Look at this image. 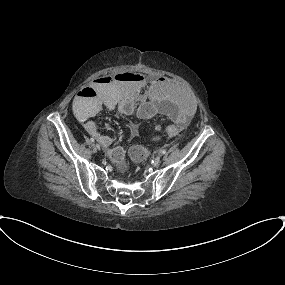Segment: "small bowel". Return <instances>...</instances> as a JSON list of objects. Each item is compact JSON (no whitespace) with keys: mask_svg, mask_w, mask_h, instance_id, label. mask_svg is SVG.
<instances>
[{"mask_svg":"<svg viewBox=\"0 0 285 285\" xmlns=\"http://www.w3.org/2000/svg\"><path fill=\"white\" fill-rule=\"evenodd\" d=\"M119 73L114 76H103L95 80L90 86L79 91L73 99L72 107L75 114L84 121L87 132L95 137L104 147L109 157L116 164H122L125 157L123 146H111L112 139L99 132L97 124L90 120L102 108L117 110L125 116H136L140 119H149L157 114L169 118L176 131L167 129L170 137H175L179 131L187 126L196 113V103L189 92L180 82L166 77L147 80L141 74H133L135 80L123 79ZM95 100H88L91 94ZM138 134V125L131 123L129 136L131 139Z\"/></svg>","mask_w":285,"mask_h":285,"instance_id":"small-bowel-1","label":"small bowel"}]
</instances>
